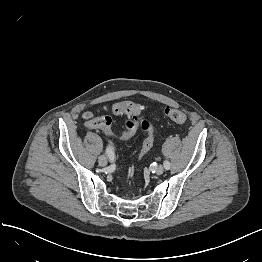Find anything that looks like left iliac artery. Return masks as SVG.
I'll return each instance as SVG.
<instances>
[{"instance_id": "44dca946", "label": "left iliac artery", "mask_w": 262, "mask_h": 262, "mask_svg": "<svg viewBox=\"0 0 262 262\" xmlns=\"http://www.w3.org/2000/svg\"><path fill=\"white\" fill-rule=\"evenodd\" d=\"M170 166H171V164H170V162L169 161H164V167H165V169H170Z\"/></svg>"}]
</instances>
